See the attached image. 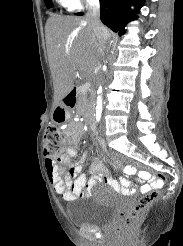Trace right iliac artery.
I'll use <instances>...</instances> for the list:
<instances>
[{
    "instance_id": "obj_1",
    "label": "right iliac artery",
    "mask_w": 183,
    "mask_h": 246,
    "mask_svg": "<svg viewBox=\"0 0 183 246\" xmlns=\"http://www.w3.org/2000/svg\"><path fill=\"white\" fill-rule=\"evenodd\" d=\"M101 113H102V111H101V110H97V111H96V119H97V122H99V121H100V118H101Z\"/></svg>"
}]
</instances>
